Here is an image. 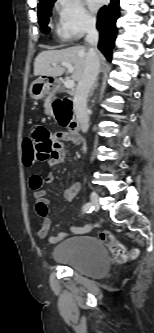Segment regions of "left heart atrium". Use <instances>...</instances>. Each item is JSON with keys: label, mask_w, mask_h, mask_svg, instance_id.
<instances>
[{"label": "left heart atrium", "mask_w": 154, "mask_h": 333, "mask_svg": "<svg viewBox=\"0 0 154 333\" xmlns=\"http://www.w3.org/2000/svg\"><path fill=\"white\" fill-rule=\"evenodd\" d=\"M89 7L95 11L97 10L101 4L103 3L104 0H87Z\"/></svg>", "instance_id": "left-heart-atrium-1"}]
</instances>
